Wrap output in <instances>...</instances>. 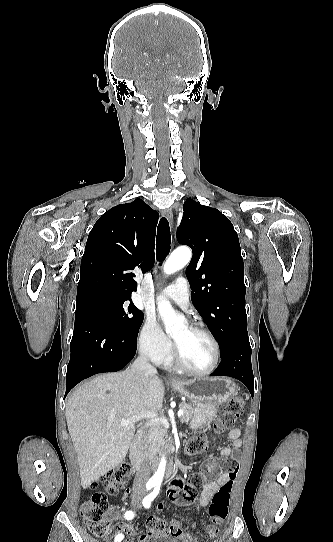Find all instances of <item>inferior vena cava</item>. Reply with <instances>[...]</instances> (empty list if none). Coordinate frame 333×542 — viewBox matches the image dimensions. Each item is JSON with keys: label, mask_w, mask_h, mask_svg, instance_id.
Listing matches in <instances>:
<instances>
[{"label": "inferior vena cava", "mask_w": 333, "mask_h": 542, "mask_svg": "<svg viewBox=\"0 0 333 542\" xmlns=\"http://www.w3.org/2000/svg\"><path fill=\"white\" fill-rule=\"evenodd\" d=\"M131 370L142 372L143 378H150V376H156L157 374L156 368L149 364L145 354H140L139 358H137L134 364H132ZM150 472V462L146 460V462H144L141 468H139V470L136 472L133 482V492H138V490H142V492H144L145 486L150 478Z\"/></svg>", "instance_id": "602c4592"}]
</instances>
